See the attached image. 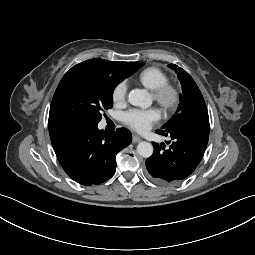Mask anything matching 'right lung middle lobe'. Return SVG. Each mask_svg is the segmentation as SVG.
Returning a JSON list of instances; mask_svg holds the SVG:
<instances>
[{
    "instance_id": "dd1d6c3e",
    "label": "right lung middle lobe",
    "mask_w": 255,
    "mask_h": 255,
    "mask_svg": "<svg viewBox=\"0 0 255 255\" xmlns=\"http://www.w3.org/2000/svg\"><path fill=\"white\" fill-rule=\"evenodd\" d=\"M144 64L141 62L126 75L105 69L69 70L61 79L53 96L49 122L98 124L102 118V111L112 108V94L117 84Z\"/></svg>"
}]
</instances>
